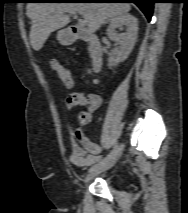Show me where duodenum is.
Here are the masks:
<instances>
[{
	"instance_id": "410a0bca",
	"label": "duodenum",
	"mask_w": 188,
	"mask_h": 213,
	"mask_svg": "<svg viewBox=\"0 0 188 213\" xmlns=\"http://www.w3.org/2000/svg\"><path fill=\"white\" fill-rule=\"evenodd\" d=\"M69 31L70 43L77 41H87L90 43L91 68L94 72H98L102 67L104 56V50L98 36L77 26H72Z\"/></svg>"
}]
</instances>
